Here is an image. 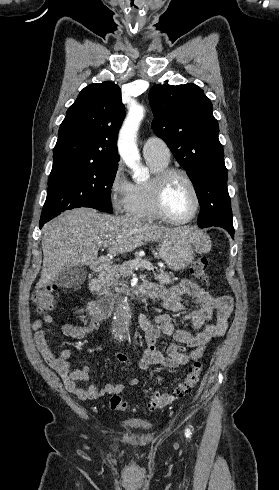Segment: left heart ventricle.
<instances>
[{"mask_svg": "<svg viewBox=\"0 0 279 490\" xmlns=\"http://www.w3.org/2000/svg\"><path fill=\"white\" fill-rule=\"evenodd\" d=\"M195 197L189 183L181 177H176L170 183L166 195V207L175 219H185L193 211Z\"/></svg>", "mask_w": 279, "mask_h": 490, "instance_id": "1", "label": "left heart ventricle"}]
</instances>
